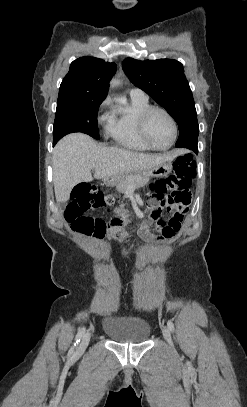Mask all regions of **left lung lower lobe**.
<instances>
[{"label": "left lung lower lobe", "mask_w": 247, "mask_h": 407, "mask_svg": "<svg viewBox=\"0 0 247 407\" xmlns=\"http://www.w3.org/2000/svg\"><path fill=\"white\" fill-rule=\"evenodd\" d=\"M190 150H192V151H194V153L198 154V147L197 146L190 147Z\"/></svg>", "instance_id": "left-lung-lower-lobe-1"}]
</instances>
